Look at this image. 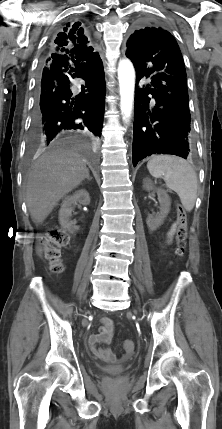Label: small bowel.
<instances>
[{
    "instance_id": "small-bowel-1",
    "label": "small bowel",
    "mask_w": 222,
    "mask_h": 429,
    "mask_svg": "<svg viewBox=\"0 0 222 429\" xmlns=\"http://www.w3.org/2000/svg\"><path fill=\"white\" fill-rule=\"evenodd\" d=\"M177 229V221L174 222L171 228L168 230L166 234L167 241L170 242L176 232ZM113 340V322L108 317H103L101 319V328L100 330L92 334L88 339V344L92 353L99 359L105 362H115L116 355L110 349L103 347L102 345H109Z\"/></svg>"
}]
</instances>
